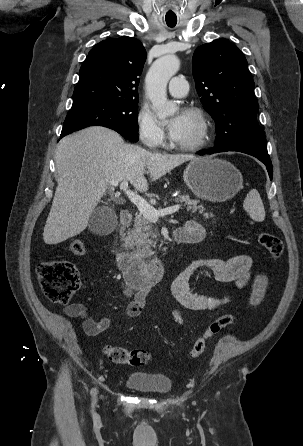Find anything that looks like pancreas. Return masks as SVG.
Segmentation results:
<instances>
[{"instance_id":"obj_1","label":"pancreas","mask_w":303,"mask_h":446,"mask_svg":"<svg viewBox=\"0 0 303 446\" xmlns=\"http://www.w3.org/2000/svg\"><path fill=\"white\" fill-rule=\"evenodd\" d=\"M32 4L31 7H35ZM176 202L184 203L188 211L199 212L207 217L202 205H198V200L190 199L189 195H180L175 198ZM156 230L152 229L150 222L141 214L136 215L133 228L126 231L125 243L126 249H132L133 253L139 258H148L153 255L152 247H155Z\"/></svg>"}]
</instances>
